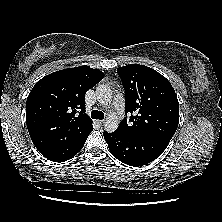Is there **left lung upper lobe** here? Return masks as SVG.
<instances>
[{"label":"left lung upper lobe","instance_id":"5c2ea615","mask_svg":"<svg viewBox=\"0 0 222 222\" xmlns=\"http://www.w3.org/2000/svg\"><path fill=\"white\" fill-rule=\"evenodd\" d=\"M125 89L126 113L116 131L132 136L170 139L178 127L179 102L176 93L163 75L139 64L117 69Z\"/></svg>","mask_w":222,"mask_h":222}]
</instances>
